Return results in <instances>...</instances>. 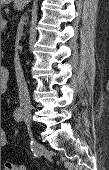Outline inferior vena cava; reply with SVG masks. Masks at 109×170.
<instances>
[{"mask_svg": "<svg viewBox=\"0 0 109 170\" xmlns=\"http://www.w3.org/2000/svg\"><path fill=\"white\" fill-rule=\"evenodd\" d=\"M24 17L21 18L19 23V31L21 32L24 25ZM19 49V40L16 41L15 46V57H14V64H15V72H16V78H17V84H18V93H19V100L20 105L24 108L30 109L31 107V101L29 96L28 87L24 78V74L22 71V67L20 64V58L18 54Z\"/></svg>", "mask_w": 109, "mask_h": 170, "instance_id": "inferior-vena-cava-1", "label": "inferior vena cava"}]
</instances>
